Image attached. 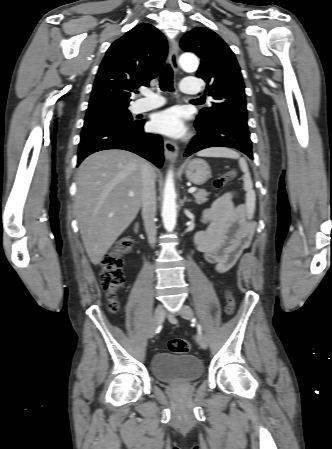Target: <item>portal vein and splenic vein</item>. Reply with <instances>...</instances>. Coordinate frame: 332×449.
<instances>
[{
    "label": "portal vein and splenic vein",
    "instance_id": "portal-vein-and-splenic-vein-1",
    "mask_svg": "<svg viewBox=\"0 0 332 449\" xmlns=\"http://www.w3.org/2000/svg\"><path fill=\"white\" fill-rule=\"evenodd\" d=\"M195 191H196V188H194V187H192V188H190V189L188 190L189 193H194ZM129 196L133 197V196H134V193L130 192V193H129Z\"/></svg>",
    "mask_w": 332,
    "mask_h": 449
}]
</instances>
